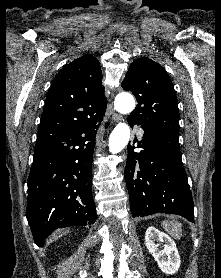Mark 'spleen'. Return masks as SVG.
<instances>
[{
    "mask_svg": "<svg viewBox=\"0 0 221 278\" xmlns=\"http://www.w3.org/2000/svg\"><path fill=\"white\" fill-rule=\"evenodd\" d=\"M163 229L175 239H180L182 236L181 224L176 221H162Z\"/></svg>",
    "mask_w": 221,
    "mask_h": 278,
    "instance_id": "3e777b00",
    "label": "spleen"
}]
</instances>
